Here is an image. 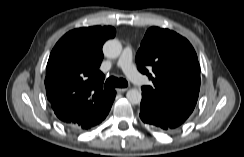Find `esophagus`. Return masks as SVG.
<instances>
[{
    "label": "esophagus",
    "mask_w": 244,
    "mask_h": 157,
    "mask_svg": "<svg viewBox=\"0 0 244 157\" xmlns=\"http://www.w3.org/2000/svg\"><path fill=\"white\" fill-rule=\"evenodd\" d=\"M128 90V88H117L116 89V91L118 92V93H124V92H126Z\"/></svg>",
    "instance_id": "34e87169"
}]
</instances>
